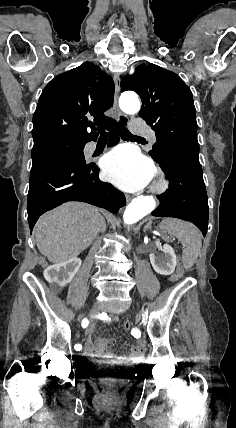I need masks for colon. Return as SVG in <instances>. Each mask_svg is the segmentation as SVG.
Returning a JSON list of instances; mask_svg holds the SVG:
<instances>
[{"label": "colon", "instance_id": "obj_1", "mask_svg": "<svg viewBox=\"0 0 236 428\" xmlns=\"http://www.w3.org/2000/svg\"><path fill=\"white\" fill-rule=\"evenodd\" d=\"M182 275V269H178L177 270V272L175 273V275L173 276V280H175V279H177V278H179L180 276ZM130 323L129 322H125V324H124V327L126 328V329H129L130 328Z\"/></svg>", "mask_w": 236, "mask_h": 428}]
</instances>
